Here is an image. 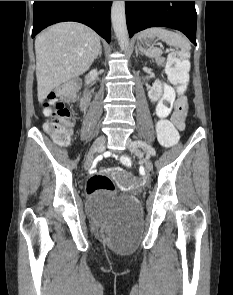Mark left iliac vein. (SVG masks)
I'll list each match as a JSON object with an SVG mask.
<instances>
[{"label": "left iliac vein", "instance_id": "1", "mask_svg": "<svg viewBox=\"0 0 233 295\" xmlns=\"http://www.w3.org/2000/svg\"><path fill=\"white\" fill-rule=\"evenodd\" d=\"M134 141L135 140H128V142H127L128 149L132 153L142 157L146 170L148 172H151L153 170V164H152V161L150 160V157L148 155H144L143 152L140 150L141 145H135Z\"/></svg>", "mask_w": 233, "mask_h": 295}]
</instances>
